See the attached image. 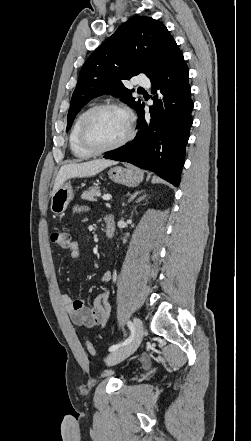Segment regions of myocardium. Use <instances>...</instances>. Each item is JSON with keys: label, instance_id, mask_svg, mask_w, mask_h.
<instances>
[{"label": "myocardium", "instance_id": "myocardium-1", "mask_svg": "<svg viewBox=\"0 0 251 441\" xmlns=\"http://www.w3.org/2000/svg\"><path fill=\"white\" fill-rule=\"evenodd\" d=\"M102 109H115V110H119L121 112H123L127 118V131L126 134L116 143L110 145V146H106V147H95L93 145H91L87 139L86 136V127H87V123L90 119V117L97 111L102 110ZM134 135V116L132 114V112L126 108L125 106L115 103V102H103V103H99L94 105L93 107H91L90 109H88L80 122V126H79V133H78V139H79V143L80 145L89 153L93 154V155H97V154H103L109 151H113L116 150L122 146H124L127 142H129L132 137Z\"/></svg>", "mask_w": 251, "mask_h": 441}]
</instances>
